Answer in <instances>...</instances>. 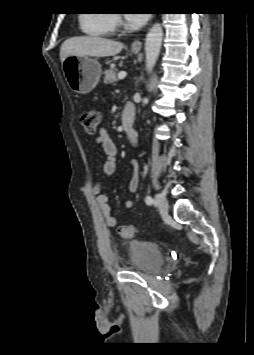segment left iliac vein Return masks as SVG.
<instances>
[{
	"instance_id": "1",
	"label": "left iliac vein",
	"mask_w": 254,
	"mask_h": 355,
	"mask_svg": "<svg viewBox=\"0 0 254 355\" xmlns=\"http://www.w3.org/2000/svg\"><path fill=\"white\" fill-rule=\"evenodd\" d=\"M156 206L162 215H166L168 213L169 205L165 195L161 193L156 195Z\"/></svg>"
}]
</instances>
